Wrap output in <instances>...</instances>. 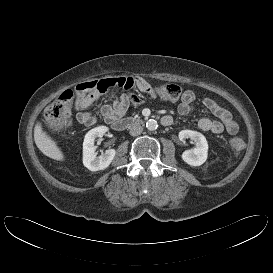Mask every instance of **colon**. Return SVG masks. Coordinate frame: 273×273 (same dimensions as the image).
Listing matches in <instances>:
<instances>
[{"mask_svg": "<svg viewBox=\"0 0 273 273\" xmlns=\"http://www.w3.org/2000/svg\"><path fill=\"white\" fill-rule=\"evenodd\" d=\"M135 85H137V78L134 77L107 78L79 84L73 89L64 91L49 104L45 111L44 125L50 132H62L71 123V110L76 100L99 95L111 88L130 90ZM180 94L181 88L173 83L153 90L154 96L170 100L179 98ZM227 145L231 151L240 152L244 149L245 142L241 137H234L228 141Z\"/></svg>", "mask_w": 273, "mask_h": 273, "instance_id": "1", "label": "colon"}]
</instances>
